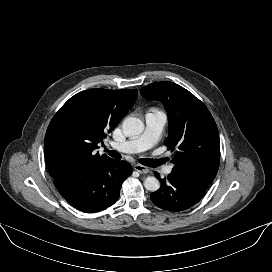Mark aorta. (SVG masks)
Listing matches in <instances>:
<instances>
[{"mask_svg":"<svg viewBox=\"0 0 272 272\" xmlns=\"http://www.w3.org/2000/svg\"><path fill=\"white\" fill-rule=\"evenodd\" d=\"M122 127L128 135L138 136L144 130V123L139 118L127 117L124 119ZM144 187L148 191L155 192L160 188V182L156 177L149 176L144 180Z\"/></svg>","mask_w":272,"mask_h":272,"instance_id":"762f6f07","label":"aorta"}]
</instances>
